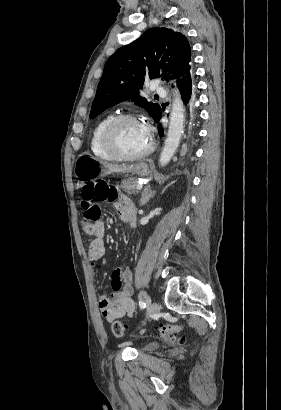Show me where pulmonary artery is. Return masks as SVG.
Listing matches in <instances>:
<instances>
[{"label":"pulmonary artery","mask_w":281,"mask_h":410,"mask_svg":"<svg viewBox=\"0 0 281 410\" xmlns=\"http://www.w3.org/2000/svg\"><path fill=\"white\" fill-rule=\"evenodd\" d=\"M152 90L157 94H164L165 93V89L157 81L153 82Z\"/></svg>","instance_id":"e3ab8cb5"}]
</instances>
